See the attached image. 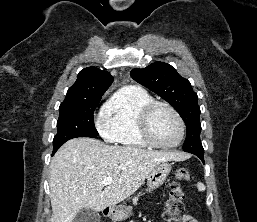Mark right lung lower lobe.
<instances>
[{
	"instance_id": "1",
	"label": "right lung lower lobe",
	"mask_w": 257,
	"mask_h": 222,
	"mask_svg": "<svg viewBox=\"0 0 257 222\" xmlns=\"http://www.w3.org/2000/svg\"><path fill=\"white\" fill-rule=\"evenodd\" d=\"M58 150V148L53 149L52 155Z\"/></svg>"
}]
</instances>
